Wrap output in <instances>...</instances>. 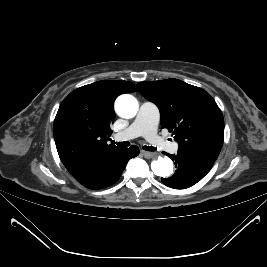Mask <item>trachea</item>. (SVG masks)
<instances>
[{
	"label": "trachea",
	"instance_id": "3493384b",
	"mask_svg": "<svg viewBox=\"0 0 267 267\" xmlns=\"http://www.w3.org/2000/svg\"><path fill=\"white\" fill-rule=\"evenodd\" d=\"M114 142V141H113ZM118 147H122V148H126L128 146H130V143L128 141H124V142H114ZM143 149L146 151H156V148L153 146H143Z\"/></svg>",
	"mask_w": 267,
	"mask_h": 267
}]
</instances>
